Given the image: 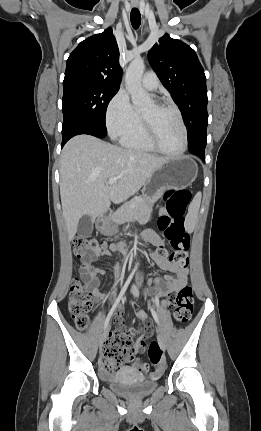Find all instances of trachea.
Returning <instances> with one entry per match:
<instances>
[{"label":"trachea","instance_id":"obj_1","mask_svg":"<svg viewBox=\"0 0 261 431\" xmlns=\"http://www.w3.org/2000/svg\"><path fill=\"white\" fill-rule=\"evenodd\" d=\"M131 24L134 29H138L141 23V15L137 8H133L130 13Z\"/></svg>","mask_w":261,"mask_h":431}]
</instances>
